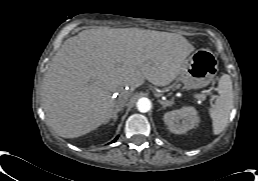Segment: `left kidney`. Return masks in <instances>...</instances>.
<instances>
[{"mask_svg":"<svg viewBox=\"0 0 258 181\" xmlns=\"http://www.w3.org/2000/svg\"><path fill=\"white\" fill-rule=\"evenodd\" d=\"M163 120L169 130L175 134H185L196 128L199 123L197 111L193 107H183L164 114Z\"/></svg>","mask_w":258,"mask_h":181,"instance_id":"1","label":"left kidney"}]
</instances>
